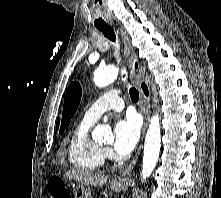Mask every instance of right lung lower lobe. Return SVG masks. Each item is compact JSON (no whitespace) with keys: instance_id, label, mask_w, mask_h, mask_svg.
Instances as JSON below:
<instances>
[{"instance_id":"98d812e1","label":"right lung lower lobe","mask_w":221,"mask_h":198,"mask_svg":"<svg viewBox=\"0 0 221 198\" xmlns=\"http://www.w3.org/2000/svg\"><path fill=\"white\" fill-rule=\"evenodd\" d=\"M142 89L144 90V93H145L146 95H148V89H147V87H146L145 84H142Z\"/></svg>"}]
</instances>
